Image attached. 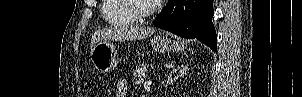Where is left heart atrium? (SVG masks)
<instances>
[{
    "instance_id": "1",
    "label": "left heart atrium",
    "mask_w": 302,
    "mask_h": 97,
    "mask_svg": "<svg viewBox=\"0 0 302 97\" xmlns=\"http://www.w3.org/2000/svg\"><path fill=\"white\" fill-rule=\"evenodd\" d=\"M151 4H159L162 0H148Z\"/></svg>"
}]
</instances>
